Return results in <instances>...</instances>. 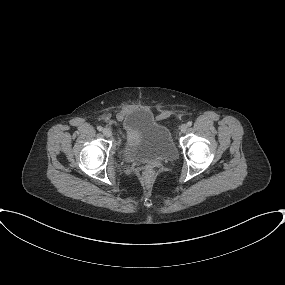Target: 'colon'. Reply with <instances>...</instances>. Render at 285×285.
Returning <instances> with one entry per match:
<instances>
[{
	"mask_svg": "<svg viewBox=\"0 0 285 285\" xmlns=\"http://www.w3.org/2000/svg\"><path fill=\"white\" fill-rule=\"evenodd\" d=\"M147 176H151L152 175V170L151 169H148L147 172H146Z\"/></svg>",
	"mask_w": 285,
	"mask_h": 285,
	"instance_id": "obj_1",
	"label": "colon"
}]
</instances>
